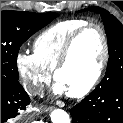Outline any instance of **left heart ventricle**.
<instances>
[{
    "label": "left heart ventricle",
    "mask_w": 123,
    "mask_h": 123,
    "mask_svg": "<svg viewBox=\"0 0 123 123\" xmlns=\"http://www.w3.org/2000/svg\"><path fill=\"white\" fill-rule=\"evenodd\" d=\"M102 48L100 33L95 28L87 30L77 39L57 79L67 93L78 91L91 81L98 69Z\"/></svg>",
    "instance_id": "obj_1"
}]
</instances>
